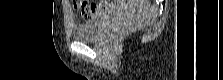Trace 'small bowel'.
Wrapping results in <instances>:
<instances>
[{"label": "small bowel", "mask_w": 223, "mask_h": 80, "mask_svg": "<svg viewBox=\"0 0 223 80\" xmlns=\"http://www.w3.org/2000/svg\"><path fill=\"white\" fill-rule=\"evenodd\" d=\"M108 6H110V5L108 4L107 1H102V2L98 3L95 11L92 14L88 15L87 17H85V16H83V17L88 20H95L99 15H101L107 11ZM74 7H75V5H74Z\"/></svg>", "instance_id": "small-bowel-1"}]
</instances>
